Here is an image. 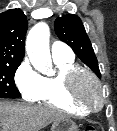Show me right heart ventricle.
Returning <instances> with one entry per match:
<instances>
[{
  "label": "right heart ventricle",
  "instance_id": "right-heart-ventricle-1",
  "mask_svg": "<svg viewBox=\"0 0 117 131\" xmlns=\"http://www.w3.org/2000/svg\"><path fill=\"white\" fill-rule=\"evenodd\" d=\"M56 74L43 77L41 91L35 101L60 109L75 116H86L90 110L74 102L68 95L66 79L70 72L78 69L74 58L54 60Z\"/></svg>",
  "mask_w": 117,
  "mask_h": 131
}]
</instances>
